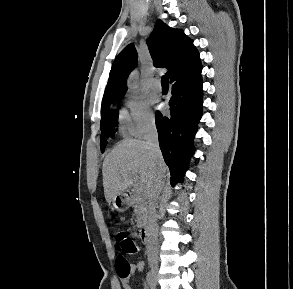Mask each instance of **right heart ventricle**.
Instances as JSON below:
<instances>
[{"instance_id":"1","label":"right heart ventricle","mask_w":293,"mask_h":289,"mask_svg":"<svg viewBox=\"0 0 293 289\" xmlns=\"http://www.w3.org/2000/svg\"><path fill=\"white\" fill-rule=\"evenodd\" d=\"M120 120H121V124L119 127L120 133L124 136L128 135L129 133H131V129L128 123V119L125 113H121L120 115Z\"/></svg>"}]
</instances>
